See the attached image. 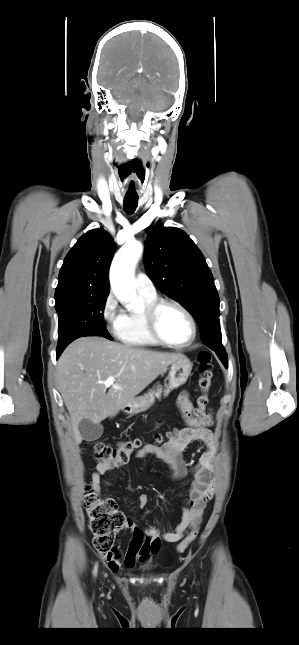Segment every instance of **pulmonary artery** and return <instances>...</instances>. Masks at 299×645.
<instances>
[{"instance_id": "pulmonary-artery-1", "label": "pulmonary artery", "mask_w": 299, "mask_h": 645, "mask_svg": "<svg viewBox=\"0 0 299 645\" xmlns=\"http://www.w3.org/2000/svg\"><path fill=\"white\" fill-rule=\"evenodd\" d=\"M136 288L138 292L147 295H156V289L151 279L144 273H139L136 276Z\"/></svg>"}]
</instances>
